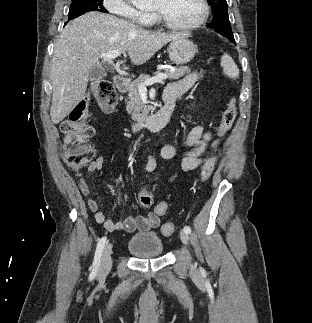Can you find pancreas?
Listing matches in <instances>:
<instances>
[{"label":"pancreas","instance_id":"obj_1","mask_svg":"<svg viewBox=\"0 0 312 323\" xmlns=\"http://www.w3.org/2000/svg\"><path fill=\"white\" fill-rule=\"evenodd\" d=\"M191 68L189 66H182V68H174V70H167L165 68L163 74H166L169 80H179L185 74H190ZM146 80H150V76H139L133 82H129L128 84V102L127 112L130 114L132 120L135 122H146L148 120V114L150 110H152V106H144L141 102V96L139 94V86L140 84H144Z\"/></svg>","mask_w":312,"mask_h":323}]
</instances>
